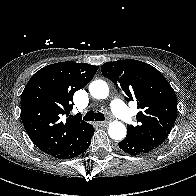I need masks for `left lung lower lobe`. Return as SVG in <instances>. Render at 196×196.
<instances>
[{"label":"left lung lower lobe","mask_w":196,"mask_h":196,"mask_svg":"<svg viewBox=\"0 0 196 196\" xmlns=\"http://www.w3.org/2000/svg\"><path fill=\"white\" fill-rule=\"evenodd\" d=\"M119 147L125 153H128L133 156L148 153L154 149V147L152 146L140 143L129 137H126L124 140L119 142Z\"/></svg>","instance_id":"1"}]
</instances>
